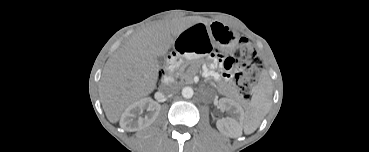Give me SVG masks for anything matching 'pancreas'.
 <instances>
[{"label": "pancreas", "instance_id": "cf45deb5", "mask_svg": "<svg viewBox=\"0 0 369 152\" xmlns=\"http://www.w3.org/2000/svg\"><path fill=\"white\" fill-rule=\"evenodd\" d=\"M195 71H194V73H196V71L198 70L197 68H195L194 69ZM189 74H190V72H187L185 75H184V77H185V79H189L190 78V76H189ZM221 93H223L224 95H226L227 97H228V99H230V100H232V101H234V100H237L238 98H239V94H238V92L235 90V89H233V88H230L229 90H222L221 91Z\"/></svg>", "mask_w": 369, "mask_h": 152}]
</instances>
